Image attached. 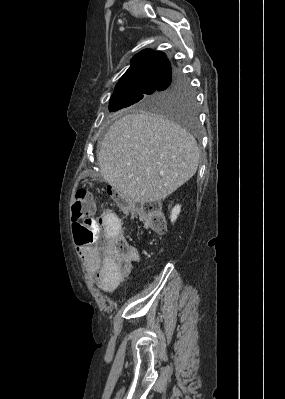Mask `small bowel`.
Instances as JSON below:
<instances>
[{
  "label": "small bowel",
  "mask_w": 285,
  "mask_h": 399,
  "mask_svg": "<svg viewBox=\"0 0 285 399\" xmlns=\"http://www.w3.org/2000/svg\"><path fill=\"white\" fill-rule=\"evenodd\" d=\"M85 230L81 231V236L87 235V231H99L102 229L106 236L112 237L120 229V221L118 218L110 213L109 211L98 219L93 220L89 225H84ZM101 245L87 244L82 247L81 253L85 259L87 268L97 271V284L99 288L106 293L112 292L120 282V275L111 266L110 261L107 258H102L100 255ZM135 254L137 253V247L133 248Z\"/></svg>",
  "instance_id": "1"
}]
</instances>
